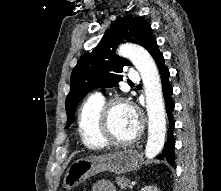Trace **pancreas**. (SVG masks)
I'll return each mask as SVG.
<instances>
[{"label": "pancreas", "mask_w": 221, "mask_h": 191, "mask_svg": "<svg viewBox=\"0 0 221 191\" xmlns=\"http://www.w3.org/2000/svg\"><path fill=\"white\" fill-rule=\"evenodd\" d=\"M116 183L118 184V186H120V188L122 190L126 189L127 187H129L130 184V180L128 178L125 177H116Z\"/></svg>", "instance_id": "1"}]
</instances>
